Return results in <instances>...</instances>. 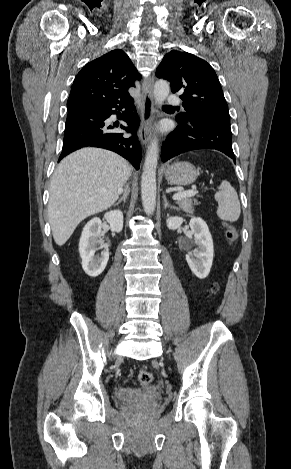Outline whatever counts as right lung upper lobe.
<instances>
[{
	"label": "right lung upper lobe",
	"mask_w": 291,
	"mask_h": 469,
	"mask_svg": "<svg viewBox=\"0 0 291 469\" xmlns=\"http://www.w3.org/2000/svg\"><path fill=\"white\" fill-rule=\"evenodd\" d=\"M140 78L124 51H110L86 64L77 74L67 101V110L69 112L98 101H131L128 89Z\"/></svg>",
	"instance_id": "obj_1"
}]
</instances>
